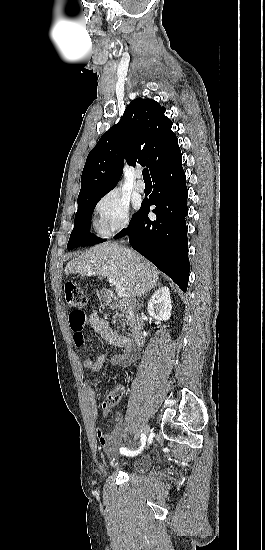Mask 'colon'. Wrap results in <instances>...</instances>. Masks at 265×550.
<instances>
[{"instance_id":"1","label":"colon","mask_w":265,"mask_h":550,"mask_svg":"<svg viewBox=\"0 0 265 550\" xmlns=\"http://www.w3.org/2000/svg\"><path fill=\"white\" fill-rule=\"evenodd\" d=\"M65 299L68 307L72 309L69 314V322L76 340L80 339V334L85 326V314L83 308L87 304V295L84 289L72 282H67L64 287ZM121 396L118 388L111 389L105 398V406L116 403Z\"/></svg>"}]
</instances>
